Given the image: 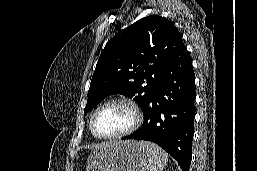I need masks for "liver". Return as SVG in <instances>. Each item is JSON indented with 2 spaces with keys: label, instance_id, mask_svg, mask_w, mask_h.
I'll return each mask as SVG.
<instances>
[{
  "label": "liver",
  "instance_id": "1",
  "mask_svg": "<svg viewBox=\"0 0 257 171\" xmlns=\"http://www.w3.org/2000/svg\"><path fill=\"white\" fill-rule=\"evenodd\" d=\"M111 144H113V142H107V143L99 144V145L96 147V150H97V149L104 148V147L109 146V145H111Z\"/></svg>",
  "mask_w": 257,
  "mask_h": 171
}]
</instances>
